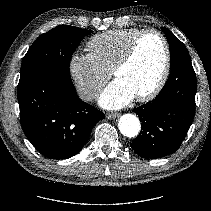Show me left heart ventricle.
Masks as SVG:
<instances>
[{
    "instance_id": "obj_1",
    "label": "left heart ventricle",
    "mask_w": 211,
    "mask_h": 211,
    "mask_svg": "<svg viewBox=\"0 0 211 211\" xmlns=\"http://www.w3.org/2000/svg\"><path fill=\"white\" fill-rule=\"evenodd\" d=\"M164 64V48L154 34L145 35L138 44L132 61L117 75L136 96L148 92L156 84Z\"/></svg>"
}]
</instances>
